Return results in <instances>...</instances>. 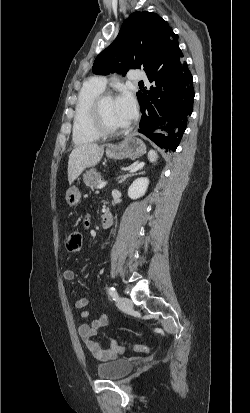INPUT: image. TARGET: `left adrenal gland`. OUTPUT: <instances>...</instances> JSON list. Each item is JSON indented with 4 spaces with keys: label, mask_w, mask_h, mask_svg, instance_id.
Listing matches in <instances>:
<instances>
[{
    "label": "left adrenal gland",
    "mask_w": 250,
    "mask_h": 413,
    "mask_svg": "<svg viewBox=\"0 0 250 413\" xmlns=\"http://www.w3.org/2000/svg\"><path fill=\"white\" fill-rule=\"evenodd\" d=\"M134 166H135V164H132L131 166H129L128 168H126V169H124V170H130V169L133 168ZM141 173H143V172H139V173H137V172H132V173H129V174H124V175H122V176L120 177V180H119L118 183H122V182L125 181L127 178L132 177V176L137 175V174H141Z\"/></svg>",
    "instance_id": "a2214340"
}]
</instances>
